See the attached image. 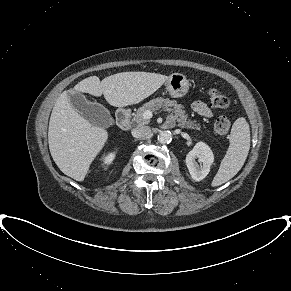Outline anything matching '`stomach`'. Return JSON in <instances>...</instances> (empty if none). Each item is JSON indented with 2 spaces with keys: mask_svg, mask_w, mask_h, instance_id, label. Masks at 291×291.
Segmentation results:
<instances>
[{
  "mask_svg": "<svg viewBox=\"0 0 291 291\" xmlns=\"http://www.w3.org/2000/svg\"><path fill=\"white\" fill-rule=\"evenodd\" d=\"M165 86L171 97L180 98L188 93L189 81L185 75L173 73L166 80Z\"/></svg>",
  "mask_w": 291,
  "mask_h": 291,
  "instance_id": "obj_1",
  "label": "stomach"
}]
</instances>
